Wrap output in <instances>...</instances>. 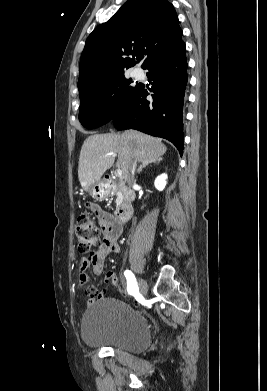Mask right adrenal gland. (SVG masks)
<instances>
[{
  "mask_svg": "<svg viewBox=\"0 0 267 391\" xmlns=\"http://www.w3.org/2000/svg\"><path fill=\"white\" fill-rule=\"evenodd\" d=\"M160 160H161V158H159L158 160L153 161V162H143V163L140 165V167L138 168L137 173H140V172L143 170V168H145L146 166H148V165H150V164H152V163L158 164V163L160 162Z\"/></svg>",
  "mask_w": 267,
  "mask_h": 391,
  "instance_id": "2a0ac1e0",
  "label": "right adrenal gland"
}]
</instances>
